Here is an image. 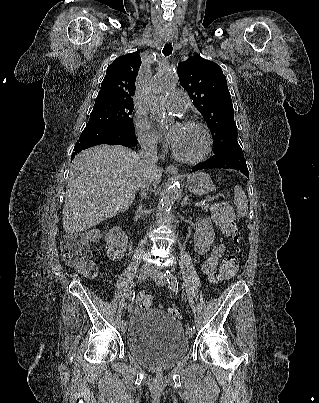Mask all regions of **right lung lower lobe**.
<instances>
[{
    "label": "right lung lower lobe",
    "instance_id": "obj_1",
    "mask_svg": "<svg viewBox=\"0 0 319 403\" xmlns=\"http://www.w3.org/2000/svg\"><path fill=\"white\" fill-rule=\"evenodd\" d=\"M138 143L134 132L120 125H100L85 127L75 144L73 157L80 151L99 144L123 145L134 147Z\"/></svg>",
    "mask_w": 319,
    "mask_h": 403
}]
</instances>
